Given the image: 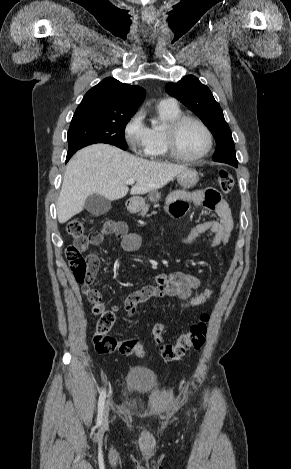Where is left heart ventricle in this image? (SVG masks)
<instances>
[{"instance_id":"left-heart-ventricle-1","label":"left heart ventricle","mask_w":291,"mask_h":469,"mask_svg":"<svg viewBox=\"0 0 291 469\" xmlns=\"http://www.w3.org/2000/svg\"><path fill=\"white\" fill-rule=\"evenodd\" d=\"M206 143L207 139L204 131L194 122L184 123L177 133V149L185 157L199 155L205 149Z\"/></svg>"}]
</instances>
